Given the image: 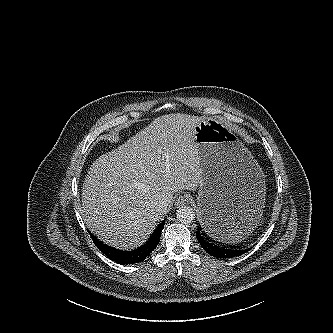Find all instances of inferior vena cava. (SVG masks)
<instances>
[{"label": "inferior vena cava", "mask_w": 333, "mask_h": 333, "mask_svg": "<svg viewBox=\"0 0 333 333\" xmlns=\"http://www.w3.org/2000/svg\"><path fill=\"white\" fill-rule=\"evenodd\" d=\"M159 207H160V209H161L163 212H165V211L167 210V204H166V202H161V203L159 204Z\"/></svg>", "instance_id": "602c4592"}]
</instances>
